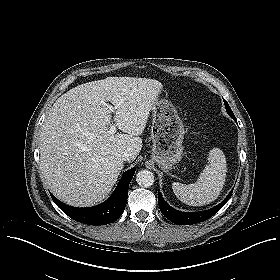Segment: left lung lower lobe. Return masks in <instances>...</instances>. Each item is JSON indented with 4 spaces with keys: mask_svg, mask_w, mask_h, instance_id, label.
<instances>
[{
    "mask_svg": "<svg viewBox=\"0 0 280 280\" xmlns=\"http://www.w3.org/2000/svg\"><path fill=\"white\" fill-rule=\"evenodd\" d=\"M236 121V120H235ZM237 122V121H236ZM233 190L228 194V196L222 201L219 205L215 206L212 209L200 211V212H181L170 205H168L162 198L161 194L158 192V204L161 213L170 221L177 225H192L195 223L203 222L210 217H212L215 213H217L230 199Z\"/></svg>",
    "mask_w": 280,
    "mask_h": 280,
    "instance_id": "1",
    "label": "left lung lower lobe"
}]
</instances>
